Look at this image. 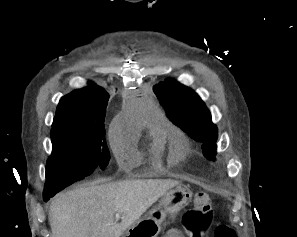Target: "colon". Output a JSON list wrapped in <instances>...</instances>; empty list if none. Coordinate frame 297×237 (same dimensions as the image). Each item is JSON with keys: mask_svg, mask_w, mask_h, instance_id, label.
<instances>
[{"mask_svg": "<svg viewBox=\"0 0 297 237\" xmlns=\"http://www.w3.org/2000/svg\"><path fill=\"white\" fill-rule=\"evenodd\" d=\"M214 220L212 199L204 191L195 194L194 206L187 210L181 221V227L173 230L166 237H206ZM215 237H237L229 226L221 224L215 229Z\"/></svg>", "mask_w": 297, "mask_h": 237, "instance_id": "colon-1", "label": "colon"}]
</instances>
